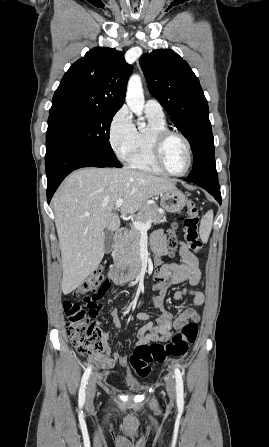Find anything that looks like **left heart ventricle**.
Returning <instances> with one entry per match:
<instances>
[{"label": "left heart ventricle", "mask_w": 269, "mask_h": 447, "mask_svg": "<svg viewBox=\"0 0 269 447\" xmlns=\"http://www.w3.org/2000/svg\"><path fill=\"white\" fill-rule=\"evenodd\" d=\"M185 143L178 137L170 138L165 145V160L174 171H182L187 164Z\"/></svg>", "instance_id": "left-heart-ventricle-1"}]
</instances>
